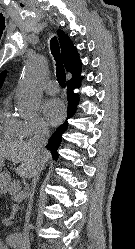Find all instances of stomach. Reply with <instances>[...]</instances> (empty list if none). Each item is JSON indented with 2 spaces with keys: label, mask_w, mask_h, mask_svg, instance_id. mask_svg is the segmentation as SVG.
<instances>
[{
  "label": "stomach",
  "mask_w": 135,
  "mask_h": 249,
  "mask_svg": "<svg viewBox=\"0 0 135 249\" xmlns=\"http://www.w3.org/2000/svg\"><path fill=\"white\" fill-rule=\"evenodd\" d=\"M3 166H4V159L0 158V170L2 169ZM4 178H5V180H4ZM9 181H10L9 175H7L5 173L0 174V188L1 189L6 187V185L9 183Z\"/></svg>",
  "instance_id": "obj_1"
}]
</instances>
